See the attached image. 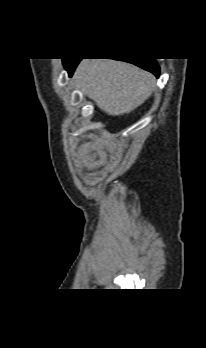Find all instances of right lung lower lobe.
<instances>
[{
	"instance_id": "obj_1",
	"label": "right lung lower lobe",
	"mask_w": 206,
	"mask_h": 348,
	"mask_svg": "<svg viewBox=\"0 0 206 348\" xmlns=\"http://www.w3.org/2000/svg\"><path fill=\"white\" fill-rule=\"evenodd\" d=\"M81 59H64V66L69 75L72 76L74 69ZM123 61L135 64L159 77L160 68L154 58H135V59H120Z\"/></svg>"
}]
</instances>
